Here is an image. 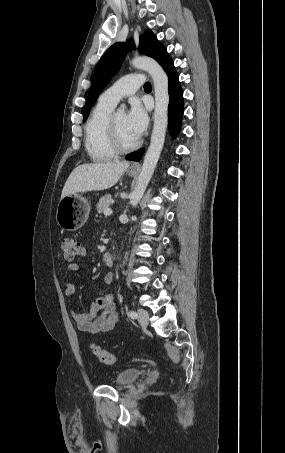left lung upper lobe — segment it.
Here are the masks:
<instances>
[{"label":"left lung upper lobe","mask_w":285,"mask_h":453,"mask_svg":"<svg viewBox=\"0 0 285 453\" xmlns=\"http://www.w3.org/2000/svg\"><path fill=\"white\" fill-rule=\"evenodd\" d=\"M133 47V41H129L126 44L115 43L108 48L103 57L100 59L94 73L87 102L84 108L83 121H86L90 109L96 102L101 91L121 67L127 51ZM139 52H143L145 55L159 61L166 52V49L150 30H146L144 35L140 38Z\"/></svg>","instance_id":"obj_1"}]
</instances>
